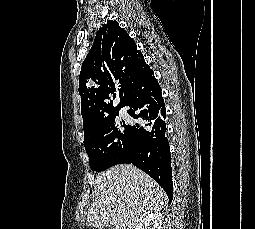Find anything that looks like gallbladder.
<instances>
[{
  "instance_id": "obj_1",
  "label": "gallbladder",
  "mask_w": 255,
  "mask_h": 229,
  "mask_svg": "<svg viewBox=\"0 0 255 229\" xmlns=\"http://www.w3.org/2000/svg\"><path fill=\"white\" fill-rule=\"evenodd\" d=\"M101 229H108L107 227H103V228H101Z\"/></svg>"
}]
</instances>
